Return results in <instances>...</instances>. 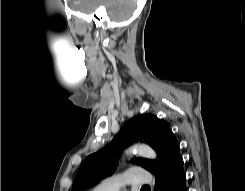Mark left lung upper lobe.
<instances>
[{"label": "left lung upper lobe", "instance_id": "5c2ea615", "mask_svg": "<svg viewBox=\"0 0 245 191\" xmlns=\"http://www.w3.org/2000/svg\"><path fill=\"white\" fill-rule=\"evenodd\" d=\"M138 141L149 144L157 152L158 159H134L132 163L141 165L152 174L163 167L179 148L176 137L165 121L153 114L136 116L124 124L105 148L86 158L75 177L72 191L93 186L110 175L123 149Z\"/></svg>", "mask_w": 245, "mask_h": 191}]
</instances>
